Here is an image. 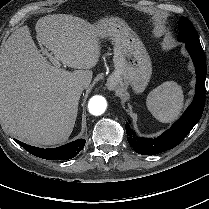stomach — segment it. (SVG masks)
Returning <instances> with one entry per match:
<instances>
[{"label": "stomach", "mask_w": 209, "mask_h": 209, "mask_svg": "<svg viewBox=\"0 0 209 209\" xmlns=\"http://www.w3.org/2000/svg\"><path fill=\"white\" fill-rule=\"evenodd\" d=\"M99 38L114 41V72L107 85L110 89L131 87L134 92L145 90L152 75L148 52L136 33L117 17H103L94 25Z\"/></svg>", "instance_id": "stomach-1"}]
</instances>
